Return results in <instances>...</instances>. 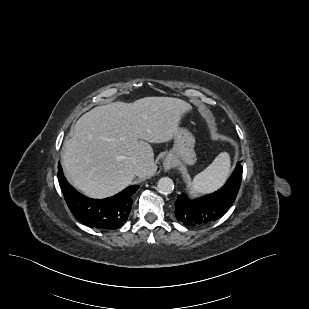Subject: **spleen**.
<instances>
[{"label":"spleen","instance_id":"1","mask_svg":"<svg viewBox=\"0 0 309 309\" xmlns=\"http://www.w3.org/2000/svg\"><path fill=\"white\" fill-rule=\"evenodd\" d=\"M230 172V156L220 153L205 170L197 174L191 189L195 193H210L220 188Z\"/></svg>","mask_w":309,"mask_h":309}]
</instances>
